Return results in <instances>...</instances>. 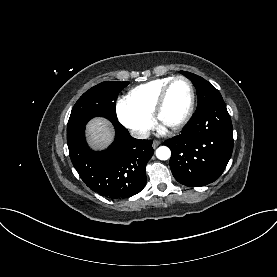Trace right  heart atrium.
<instances>
[{"instance_id": "right-heart-atrium-1", "label": "right heart atrium", "mask_w": 277, "mask_h": 277, "mask_svg": "<svg viewBox=\"0 0 277 277\" xmlns=\"http://www.w3.org/2000/svg\"><path fill=\"white\" fill-rule=\"evenodd\" d=\"M116 113L120 123L127 128L133 136L139 139L146 137L152 126V118L150 115L136 109L126 97L118 101Z\"/></svg>"}]
</instances>
